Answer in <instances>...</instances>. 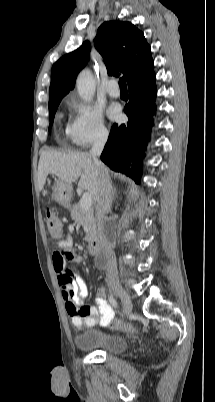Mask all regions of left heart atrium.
<instances>
[{
  "instance_id": "1",
  "label": "left heart atrium",
  "mask_w": 215,
  "mask_h": 402,
  "mask_svg": "<svg viewBox=\"0 0 215 402\" xmlns=\"http://www.w3.org/2000/svg\"><path fill=\"white\" fill-rule=\"evenodd\" d=\"M119 116V110L117 108H114L110 111V117L113 119L118 118Z\"/></svg>"
}]
</instances>
